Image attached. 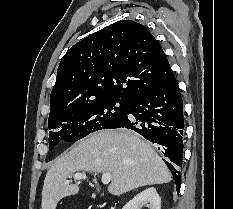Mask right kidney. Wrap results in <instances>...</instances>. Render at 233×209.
<instances>
[{
  "mask_svg": "<svg viewBox=\"0 0 233 209\" xmlns=\"http://www.w3.org/2000/svg\"><path fill=\"white\" fill-rule=\"evenodd\" d=\"M143 202H149L150 209H161V198L154 187L147 188L140 192L122 209H140Z\"/></svg>",
  "mask_w": 233,
  "mask_h": 209,
  "instance_id": "obj_1",
  "label": "right kidney"
}]
</instances>
